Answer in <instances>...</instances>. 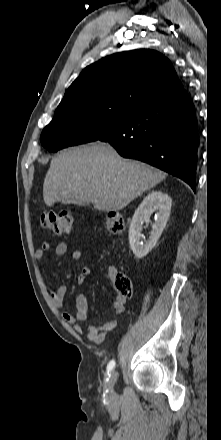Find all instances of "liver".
Wrapping results in <instances>:
<instances>
[{
  "instance_id": "6515ba94",
  "label": "liver",
  "mask_w": 221,
  "mask_h": 440,
  "mask_svg": "<svg viewBox=\"0 0 221 440\" xmlns=\"http://www.w3.org/2000/svg\"><path fill=\"white\" fill-rule=\"evenodd\" d=\"M165 177L163 171L123 159L109 144L96 142L52 159L43 199L48 207L73 199L89 201L99 211H118Z\"/></svg>"
}]
</instances>
